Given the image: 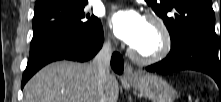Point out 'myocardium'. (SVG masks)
<instances>
[{"label": "myocardium", "instance_id": "f54148a6", "mask_svg": "<svg viewBox=\"0 0 221 102\" xmlns=\"http://www.w3.org/2000/svg\"><path fill=\"white\" fill-rule=\"evenodd\" d=\"M146 20L158 28L162 37L161 47L155 54L142 55L131 46L129 48V54L136 62L141 64H153L163 60L170 53L172 48V36L168 26L160 17L148 14L146 15Z\"/></svg>", "mask_w": 221, "mask_h": 102}]
</instances>
